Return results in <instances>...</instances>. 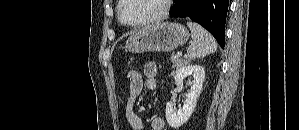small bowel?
<instances>
[{
  "label": "small bowel",
  "instance_id": "c3829d8e",
  "mask_svg": "<svg viewBox=\"0 0 299 130\" xmlns=\"http://www.w3.org/2000/svg\"><path fill=\"white\" fill-rule=\"evenodd\" d=\"M145 79H142L137 84L129 85V95L125 108V117L132 128V130H142L143 122L141 118L134 112L133 104L139 94L146 87L154 90L157 86L158 67L154 62H147L143 67ZM153 130H164V120L159 116H155L151 121Z\"/></svg>",
  "mask_w": 299,
  "mask_h": 130
}]
</instances>
